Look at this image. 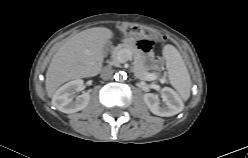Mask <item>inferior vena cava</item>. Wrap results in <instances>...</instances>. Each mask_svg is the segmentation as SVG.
Here are the masks:
<instances>
[{
  "mask_svg": "<svg viewBox=\"0 0 248 158\" xmlns=\"http://www.w3.org/2000/svg\"><path fill=\"white\" fill-rule=\"evenodd\" d=\"M113 69L111 68V67H109V68H106L104 71H103V73H102V77L104 78V79H109V78H111V76L113 75Z\"/></svg>",
  "mask_w": 248,
  "mask_h": 158,
  "instance_id": "1",
  "label": "inferior vena cava"
}]
</instances>
